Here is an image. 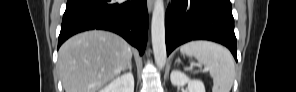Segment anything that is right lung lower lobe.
I'll list each match as a JSON object with an SVG mask.
<instances>
[{"instance_id":"1","label":"right lung lower lobe","mask_w":296,"mask_h":92,"mask_svg":"<svg viewBox=\"0 0 296 92\" xmlns=\"http://www.w3.org/2000/svg\"><path fill=\"white\" fill-rule=\"evenodd\" d=\"M92 29L115 32L143 54L148 30L146 0H68L58 48L72 35Z\"/></svg>"}]
</instances>
